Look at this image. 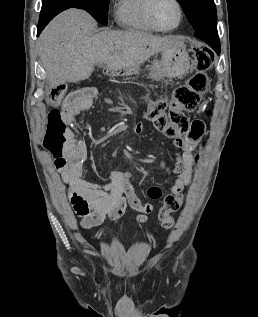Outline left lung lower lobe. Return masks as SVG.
<instances>
[{
    "label": "left lung lower lobe",
    "mask_w": 258,
    "mask_h": 317,
    "mask_svg": "<svg viewBox=\"0 0 258 317\" xmlns=\"http://www.w3.org/2000/svg\"><path fill=\"white\" fill-rule=\"evenodd\" d=\"M194 35L197 38L204 40L218 55L220 54V42L217 28H197L195 29Z\"/></svg>",
    "instance_id": "obj_1"
}]
</instances>
